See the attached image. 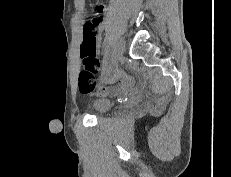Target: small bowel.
Segmentation results:
<instances>
[{"label": "small bowel", "instance_id": "obj_1", "mask_svg": "<svg viewBox=\"0 0 231 177\" xmlns=\"http://www.w3.org/2000/svg\"><path fill=\"white\" fill-rule=\"evenodd\" d=\"M103 12H104V8L103 6H98L97 7V11L94 15V17L92 18L91 20V24L95 26L96 28V31H97V43H96V48H98L100 46V42H101V38L100 36L98 35V32L102 29L103 27ZM85 26V25H84ZM84 29V27H83ZM115 77H122L120 75V73H116L115 74ZM125 83L127 84L128 83V80L127 79H124ZM116 92H123L126 90V85H121V86H118L114 89Z\"/></svg>", "mask_w": 231, "mask_h": 177}]
</instances>
